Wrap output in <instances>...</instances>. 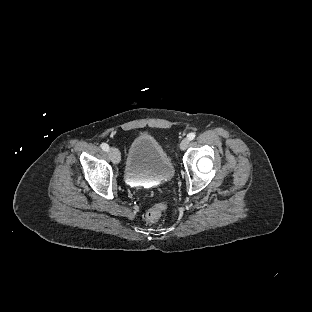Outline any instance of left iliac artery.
<instances>
[{"label":"left iliac artery","instance_id":"44dca946","mask_svg":"<svg viewBox=\"0 0 312 312\" xmlns=\"http://www.w3.org/2000/svg\"><path fill=\"white\" fill-rule=\"evenodd\" d=\"M195 136H196L195 133H189V134L187 135V137H188L189 140H193V139L195 138Z\"/></svg>","mask_w":312,"mask_h":312}]
</instances>
